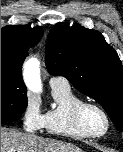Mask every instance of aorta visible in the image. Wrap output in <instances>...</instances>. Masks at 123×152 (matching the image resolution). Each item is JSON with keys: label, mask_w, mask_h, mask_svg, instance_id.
I'll use <instances>...</instances> for the list:
<instances>
[{"label": "aorta", "mask_w": 123, "mask_h": 152, "mask_svg": "<svg viewBox=\"0 0 123 152\" xmlns=\"http://www.w3.org/2000/svg\"><path fill=\"white\" fill-rule=\"evenodd\" d=\"M25 82L32 92H39L41 90L40 81V62L37 58L32 57L25 63Z\"/></svg>", "instance_id": "762f6f07"}]
</instances>
